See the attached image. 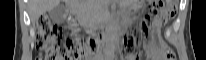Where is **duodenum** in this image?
<instances>
[{"label": "duodenum", "mask_w": 206, "mask_h": 60, "mask_svg": "<svg viewBox=\"0 0 206 60\" xmlns=\"http://www.w3.org/2000/svg\"><path fill=\"white\" fill-rule=\"evenodd\" d=\"M68 18L71 22H73V24H72L73 28H78L79 26H81L78 23H76L77 19H76L75 12H74V5H70L68 7ZM93 29H94L99 40H102L103 37H106L107 34L113 33V34H116V36L120 35L119 28L112 30V29H105V27L103 25H97Z\"/></svg>", "instance_id": "410a0bca"}]
</instances>
